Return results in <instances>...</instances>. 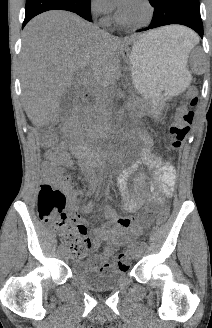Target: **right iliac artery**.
Masks as SVG:
<instances>
[{
  "label": "right iliac artery",
  "instance_id": "right-iliac-artery-1",
  "mask_svg": "<svg viewBox=\"0 0 212 328\" xmlns=\"http://www.w3.org/2000/svg\"><path fill=\"white\" fill-rule=\"evenodd\" d=\"M64 249H65L64 246L61 245V246H60V250H61V251H64Z\"/></svg>",
  "mask_w": 212,
  "mask_h": 328
}]
</instances>
